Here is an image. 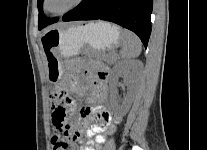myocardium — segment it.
I'll list each match as a JSON object with an SVG mask.
<instances>
[{
  "mask_svg": "<svg viewBox=\"0 0 207 150\" xmlns=\"http://www.w3.org/2000/svg\"><path fill=\"white\" fill-rule=\"evenodd\" d=\"M48 1L49 0H44V8H45V10L48 13L53 14V15H57V16L63 15V14H66V13L70 12L71 10L77 8L79 5H81L84 2V0H75L74 3L72 5H70L69 7H67L66 9H64L62 11H59V12H53L48 7Z\"/></svg>",
  "mask_w": 207,
  "mask_h": 150,
  "instance_id": "myocardium-1",
  "label": "myocardium"
}]
</instances>
